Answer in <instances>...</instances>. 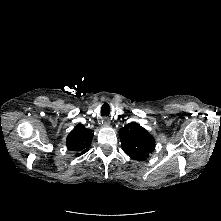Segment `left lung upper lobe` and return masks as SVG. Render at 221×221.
<instances>
[{"label":"left lung upper lobe","mask_w":221,"mask_h":221,"mask_svg":"<svg viewBox=\"0 0 221 221\" xmlns=\"http://www.w3.org/2000/svg\"><path fill=\"white\" fill-rule=\"evenodd\" d=\"M119 137L124 152L132 159L143 161L155 148V140L146 129L135 122L119 130Z\"/></svg>","instance_id":"left-lung-upper-lobe-1"}]
</instances>
